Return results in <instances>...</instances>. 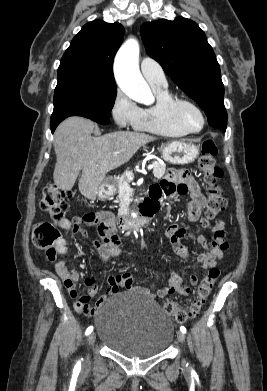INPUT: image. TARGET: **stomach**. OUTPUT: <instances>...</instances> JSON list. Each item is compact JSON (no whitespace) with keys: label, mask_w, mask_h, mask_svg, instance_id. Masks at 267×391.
<instances>
[{"label":"stomach","mask_w":267,"mask_h":391,"mask_svg":"<svg viewBox=\"0 0 267 391\" xmlns=\"http://www.w3.org/2000/svg\"><path fill=\"white\" fill-rule=\"evenodd\" d=\"M162 158L172 164H188L199 155V148L193 143L180 141L161 146ZM116 186L113 182L104 181L96 191L98 199H107L114 195Z\"/></svg>","instance_id":"0dacf381"}]
</instances>
